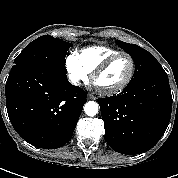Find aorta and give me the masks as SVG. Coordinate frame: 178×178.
Returning <instances> with one entry per match:
<instances>
[{
    "label": "aorta",
    "mask_w": 178,
    "mask_h": 178,
    "mask_svg": "<svg viewBox=\"0 0 178 178\" xmlns=\"http://www.w3.org/2000/svg\"><path fill=\"white\" fill-rule=\"evenodd\" d=\"M98 103L89 101L84 105V111L88 116H95L98 113Z\"/></svg>",
    "instance_id": "1"
}]
</instances>
